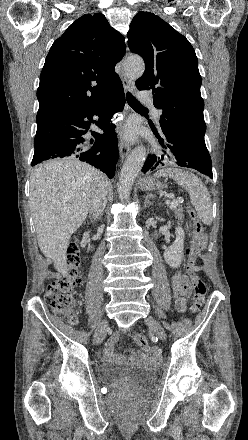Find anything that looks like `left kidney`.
Here are the masks:
<instances>
[{
    "label": "left kidney",
    "mask_w": 248,
    "mask_h": 440,
    "mask_svg": "<svg viewBox=\"0 0 248 440\" xmlns=\"http://www.w3.org/2000/svg\"><path fill=\"white\" fill-rule=\"evenodd\" d=\"M175 234L176 240L163 254L166 263L172 268H177L181 264L184 250L185 233L183 228L180 226L176 227Z\"/></svg>",
    "instance_id": "5707ae66"
}]
</instances>
